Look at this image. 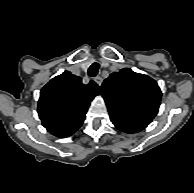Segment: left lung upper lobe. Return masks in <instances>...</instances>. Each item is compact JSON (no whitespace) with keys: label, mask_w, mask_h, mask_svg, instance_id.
Returning <instances> with one entry per match:
<instances>
[{"label":"left lung upper lobe","mask_w":194,"mask_h":193,"mask_svg":"<svg viewBox=\"0 0 194 193\" xmlns=\"http://www.w3.org/2000/svg\"><path fill=\"white\" fill-rule=\"evenodd\" d=\"M102 96L110 118L143 128L156 116L161 103V90L155 80L129 68L112 73L102 84Z\"/></svg>","instance_id":"1"}]
</instances>
